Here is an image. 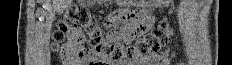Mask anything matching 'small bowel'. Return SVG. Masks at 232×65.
<instances>
[{
  "label": "small bowel",
  "mask_w": 232,
  "mask_h": 65,
  "mask_svg": "<svg viewBox=\"0 0 232 65\" xmlns=\"http://www.w3.org/2000/svg\"><path fill=\"white\" fill-rule=\"evenodd\" d=\"M110 15L104 20L105 30L108 31L104 32V37H122L120 42L125 45H136V40H139V37H147L153 28L152 12H116V14L112 12ZM117 21H132V23H117ZM82 37V31L79 29L68 31V42L63 47V57L66 63L77 61L76 52L80 47L79 41ZM174 57L175 51L167 48L135 62L123 61L109 65H170Z\"/></svg>",
  "instance_id": "1"
}]
</instances>
